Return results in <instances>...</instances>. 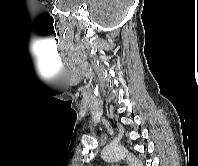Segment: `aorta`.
I'll use <instances>...</instances> for the list:
<instances>
[{
    "label": "aorta",
    "mask_w": 198,
    "mask_h": 166,
    "mask_svg": "<svg viewBox=\"0 0 198 166\" xmlns=\"http://www.w3.org/2000/svg\"><path fill=\"white\" fill-rule=\"evenodd\" d=\"M102 158L106 161L127 159L128 166H143L140 160L120 145H108L102 151Z\"/></svg>",
    "instance_id": "1"
}]
</instances>
